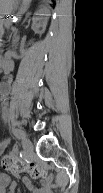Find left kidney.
<instances>
[{
    "mask_svg": "<svg viewBox=\"0 0 103 193\" xmlns=\"http://www.w3.org/2000/svg\"><path fill=\"white\" fill-rule=\"evenodd\" d=\"M49 10L47 8L39 9L32 18V29L38 31L39 23L45 25L47 23V17L49 16Z\"/></svg>",
    "mask_w": 103,
    "mask_h": 193,
    "instance_id": "5707ae66",
    "label": "left kidney"
}]
</instances>
